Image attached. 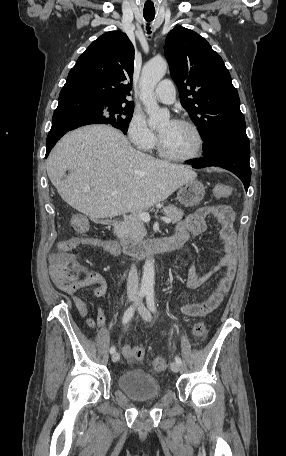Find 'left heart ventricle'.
Here are the masks:
<instances>
[{"mask_svg":"<svg viewBox=\"0 0 286 456\" xmlns=\"http://www.w3.org/2000/svg\"><path fill=\"white\" fill-rule=\"evenodd\" d=\"M158 134L166 151L172 155L185 157L194 154L198 148L195 133L188 127L173 121H166L158 128Z\"/></svg>","mask_w":286,"mask_h":456,"instance_id":"b2bd125f","label":"left heart ventricle"}]
</instances>
